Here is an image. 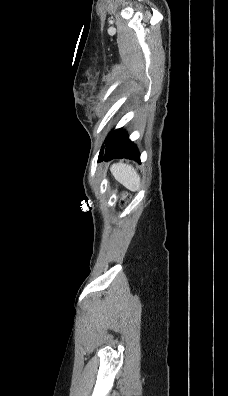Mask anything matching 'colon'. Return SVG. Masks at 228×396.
Masks as SVG:
<instances>
[{"label":"colon","mask_w":228,"mask_h":396,"mask_svg":"<svg viewBox=\"0 0 228 396\" xmlns=\"http://www.w3.org/2000/svg\"><path fill=\"white\" fill-rule=\"evenodd\" d=\"M123 199L125 200V199H126V197L124 196V197H123Z\"/></svg>","instance_id":"5ec220e1"}]
</instances>
